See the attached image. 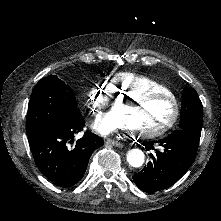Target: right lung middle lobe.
Here are the masks:
<instances>
[{"instance_id":"obj_1","label":"right lung middle lobe","mask_w":221,"mask_h":221,"mask_svg":"<svg viewBox=\"0 0 221 221\" xmlns=\"http://www.w3.org/2000/svg\"><path fill=\"white\" fill-rule=\"evenodd\" d=\"M80 118L82 115L69 85L55 75L38 81L28 105L27 134L47 126L67 125Z\"/></svg>"}]
</instances>
